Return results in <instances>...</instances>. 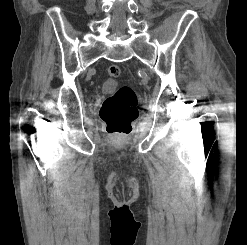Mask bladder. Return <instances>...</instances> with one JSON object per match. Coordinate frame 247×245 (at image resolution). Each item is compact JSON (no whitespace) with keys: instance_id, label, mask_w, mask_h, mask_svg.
<instances>
[{"instance_id":"31cf9c89","label":"bladder","mask_w":247,"mask_h":245,"mask_svg":"<svg viewBox=\"0 0 247 245\" xmlns=\"http://www.w3.org/2000/svg\"><path fill=\"white\" fill-rule=\"evenodd\" d=\"M116 83L113 80H107L103 85L104 91H109L115 87Z\"/></svg>"}]
</instances>
